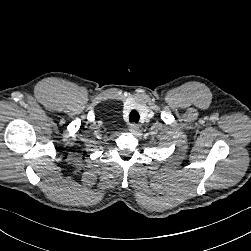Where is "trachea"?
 Masks as SVG:
<instances>
[{
    "instance_id": "trachea-1",
    "label": "trachea",
    "mask_w": 251,
    "mask_h": 251,
    "mask_svg": "<svg viewBox=\"0 0 251 251\" xmlns=\"http://www.w3.org/2000/svg\"><path fill=\"white\" fill-rule=\"evenodd\" d=\"M139 118H140V117H139V113H138L137 111L132 110V111L130 112V115H129V121H130V122L138 123Z\"/></svg>"
}]
</instances>
